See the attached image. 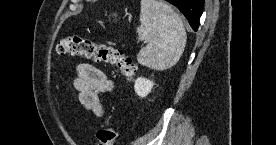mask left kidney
<instances>
[{
	"label": "left kidney",
	"mask_w": 276,
	"mask_h": 145,
	"mask_svg": "<svg viewBox=\"0 0 276 145\" xmlns=\"http://www.w3.org/2000/svg\"><path fill=\"white\" fill-rule=\"evenodd\" d=\"M153 85V82L149 79L138 77L134 84V90L138 96L146 97L150 93Z\"/></svg>",
	"instance_id": "5707ae66"
}]
</instances>
